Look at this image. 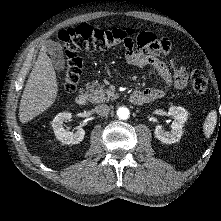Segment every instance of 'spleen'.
I'll return each instance as SVG.
<instances>
[{"instance_id":"3e777b00","label":"spleen","mask_w":221,"mask_h":221,"mask_svg":"<svg viewBox=\"0 0 221 221\" xmlns=\"http://www.w3.org/2000/svg\"><path fill=\"white\" fill-rule=\"evenodd\" d=\"M216 123H217V113L215 110H212L207 116L203 126L204 133L207 137H209L213 133Z\"/></svg>"}]
</instances>
